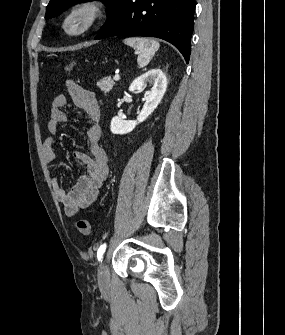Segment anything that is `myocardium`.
Listing matches in <instances>:
<instances>
[{"instance_id": "obj_1", "label": "myocardium", "mask_w": 285, "mask_h": 335, "mask_svg": "<svg viewBox=\"0 0 285 335\" xmlns=\"http://www.w3.org/2000/svg\"><path fill=\"white\" fill-rule=\"evenodd\" d=\"M105 12V8L101 4L93 2L79 4L72 10L69 18L71 32L77 34L90 29L103 18ZM77 17H81V21L78 23Z\"/></svg>"}]
</instances>
